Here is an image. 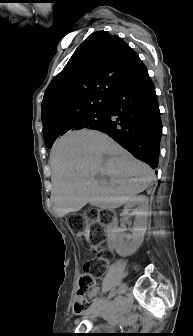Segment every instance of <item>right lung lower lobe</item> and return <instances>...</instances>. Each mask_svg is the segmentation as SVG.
Masks as SVG:
<instances>
[{
	"instance_id": "right-lung-lower-lobe-1",
	"label": "right lung lower lobe",
	"mask_w": 193,
	"mask_h": 336,
	"mask_svg": "<svg viewBox=\"0 0 193 336\" xmlns=\"http://www.w3.org/2000/svg\"><path fill=\"white\" fill-rule=\"evenodd\" d=\"M106 109L107 122L99 131L156 168L162 124L155 88L143 62L124 80Z\"/></svg>"
}]
</instances>
